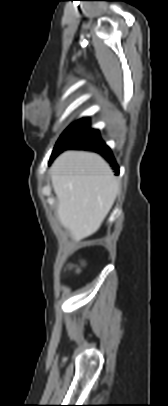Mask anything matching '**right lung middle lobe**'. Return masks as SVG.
Listing matches in <instances>:
<instances>
[{
  "label": "right lung middle lobe",
  "mask_w": 168,
  "mask_h": 406,
  "mask_svg": "<svg viewBox=\"0 0 168 406\" xmlns=\"http://www.w3.org/2000/svg\"><path fill=\"white\" fill-rule=\"evenodd\" d=\"M98 133V130L90 129L89 118H82L71 124L57 141L52 157L58 154L66 147L84 140L85 138Z\"/></svg>",
  "instance_id": "1"
}]
</instances>
